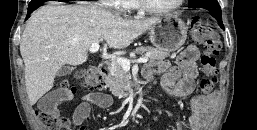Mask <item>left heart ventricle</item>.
<instances>
[{"label":"left heart ventricle","mask_w":257,"mask_h":130,"mask_svg":"<svg viewBox=\"0 0 257 130\" xmlns=\"http://www.w3.org/2000/svg\"><path fill=\"white\" fill-rule=\"evenodd\" d=\"M149 5L155 8H166L173 5L177 0H146Z\"/></svg>","instance_id":"b2bd125f"}]
</instances>
